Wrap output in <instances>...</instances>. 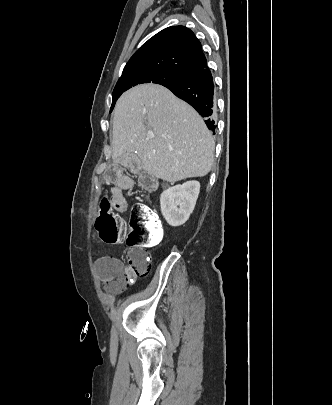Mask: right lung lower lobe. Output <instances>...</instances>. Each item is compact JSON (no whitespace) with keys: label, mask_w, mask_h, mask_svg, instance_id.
Wrapping results in <instances>:
<instances>
[{"label":"right lung lower lobe","mask_w":332,"mask_h":405,"mask_svg":"<svg viewBox=\"0 0 332 405\" xmlns=\"http://www.w3.org/2000/svg\"><path fill=\"white\" fill-rule=\"evenodd\" d=\"M167 88L194 107L202 117H206L207 127L215 133V121L211 118L216 110L214 82L207 67L184 77Z\"/></svg>","instance_id":"right-lung-lower-lobe-1"}]
</instances>
